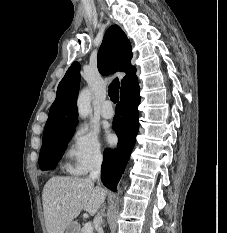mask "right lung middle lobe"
Returning <instances> with one entry per match:
<instances>
[{
	"label": "right lung middle lobe",
	"instance_id": "dd1d6c3e",
	"mask_svg": "<svg viewBox=\"0 0 227 233\" xmlns=\"http://www.w3.org/2000/svg\"><path fill=\"white\" fill-rule=\"evenodd\" d=\"M74 130L49 140L42 141V148L39 157V166L41 170L54 169L66 149L67 143L72 138Z\"/></svg>",
	"mask_w": 227,
	"mask_h": 233
}]
</instances>
